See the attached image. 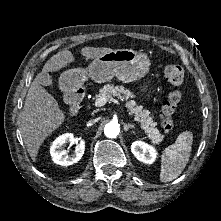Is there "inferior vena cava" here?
<instances>
[{
    "instance_id": "obj_1",
    "label": "inferior vena cava",
    "mask_w": 221,
    "mask_h": 221,
    "mask_svg": "<svg viewBox=\"0 0 221 221\" xmlns=\"http://www.w3.org/2000/svg\"><path fill=\"white\" fill-rule=\"evenodd\" d=\"M98 119H93V120H90L87 124V126H91L93 125L95 122H97Z\"/></svg>"
}]
</instances>
